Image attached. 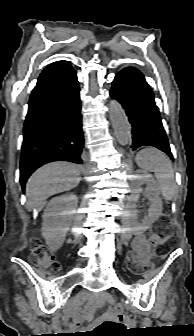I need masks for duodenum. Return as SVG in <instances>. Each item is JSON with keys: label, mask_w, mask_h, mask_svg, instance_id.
I'll list each match as a JSON object with an SVG mask.
<instances>
[{"label": "duodenum", "mask_w": 194, "mask_h": 336, "mask_svg": "<svg viewBox=\"0 0 194 336\" xmlns=\"http://www.w3.org/2000/svg\"><path fill=\"white\" fill-rule=\"evenodd\" d=\"M98 302H100V300H98ZM92 303L94 304V303H96V301L93 300Z\"/></svg>", "instance_id": "1"}]
</instances>
